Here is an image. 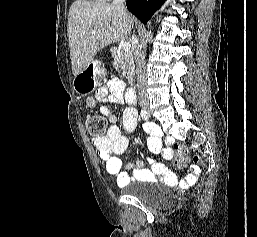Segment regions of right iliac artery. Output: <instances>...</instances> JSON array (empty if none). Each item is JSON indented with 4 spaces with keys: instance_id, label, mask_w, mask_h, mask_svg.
Returning <instances> with one entry per match:
<instances>
[{
    "instance_id": "obj_1",
    "label": "right iliac artery",
    "mask_w": 257,
    "mask_h": 237,
    "mask_svg": "<svg viewBox=\"0 0 257 237\" xmlns=\"http://www.w3.org/2000/svg\"><path fill=\"white\" fill-rule=\"evenodd\" d=\"M141 117L146 121L148 120V115H147V112L145 110H141Z\"/></svg>"
}]
</instances>
